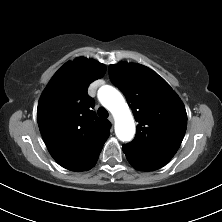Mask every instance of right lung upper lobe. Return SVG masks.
Returning a JSON list of instances; mask_svg holds the SVG:
<instances>
[{
    "mask_svg": "<svg viewBox=\"0 0 222 222\" xmlns=\"http://www.w3.org/2000/svg\"><path fill=\"white\" fill-rule=\"evenodd\" d=\"M104 64L79 57L65 63L52 77L38 103L37 120L55 161L72 171L91 169L109 137L110 122L92 111L90 83L101 78Z\"/></svg>",
    "mask_w": 222,
    "mask_h": 222,
    "instance_id": "cb5924a9",
    "label": "right lung upper lobe"
}]
</instances>
